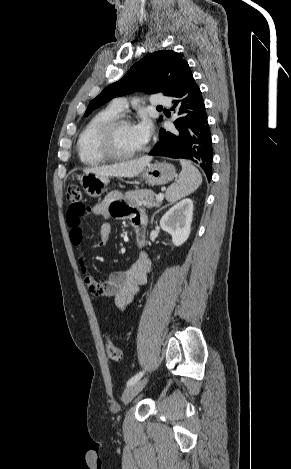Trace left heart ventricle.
I'll list each match as a JSON object with an SVG mask.
<instances>
[{"label": "left heart ventricle", "instance_id": "1", "mask_svg": "<svg viewBox=\"0 0 291 469\" xmlns=\"http://www.w3.org/2000/svg\"><path fill=\"white\" fill-rule=\"evenodd\" d=\"M114 143L116 149L121 153L133 152L145 145L137 136L132 124H124L117 129Z\"/></svg>", "mask_w": 291, "mask_h": 469}]
</instances>
